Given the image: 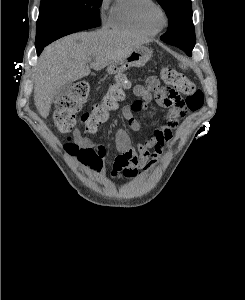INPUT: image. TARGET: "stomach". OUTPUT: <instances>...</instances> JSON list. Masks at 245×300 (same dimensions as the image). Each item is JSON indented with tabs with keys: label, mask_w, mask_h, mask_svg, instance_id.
<instances>
[{
	"label": "stomach",
	"mask_w": 245,
	"mask_h": 300,
	"mask_svg": "<svg viewBox=\"0 0 245 300\" xmlns=\"http://www.w3.org/2000/svg\"><path fill=\"white\" fill-rule=\"evenodd\" d=\"M152 50L146 47H139L122 57L121 59L111 63L107 71L111 75L123 73L131 67H143L151 58Z\"/></svg>",
	"instance_id": "0dacf381"
}]
</instances>
